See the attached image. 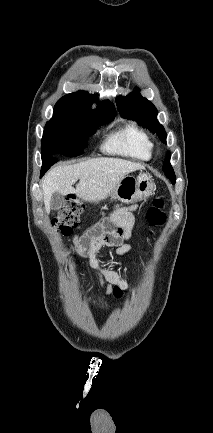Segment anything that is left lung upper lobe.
<instances>
[{
  "instance_id": "5c2ea615",
  "label": "left lung upper lobe",
  "mask_w": 213,
  "mask_h": 433,
  "mask_svg": "<svg viewBox=\"0 0 213 433\" xmlns=\"http://www.w3.org/2000/svg\"><path fill=\"white\" fill-rule=\"evenodd\" d=\"M138 91L139 89L126 97L120 96L116 99L121 116L137 121L139 125L148 128L152 133L158 134L162 142L166 143L167 134L164 127L157 120L158 112L156 107L149 100L142 97ZM170 156L171 154L168 153L164 160L163 171L167 178L175 184V173L170 164Z\"/></svg>"
}]
</instances>
